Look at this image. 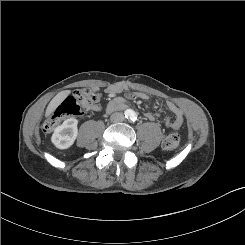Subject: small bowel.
<instances>
[{
    "label": "small bowel",
    "mask_w": 245,
    "mask_h": 245,
    "mask_svg": "<svg viewBox=\"0 0 245 245\" xmlns=\"http://www.w3.org/2000/svg\"><path fill=\"white\" fill-rule=\"evenodd\" d=\"M123 90L127 91L126 97L131 100H135V99L146 100L148 98V96L145 93L131 91L127 85H111L106 88V93L114 97L108 104V108H107L108 112L122 109L123 106H125V100L122 97L117 96ZM167 107L175 118L171 119L170 116H167L165 120V127L169 129L180 128L184 120L183 110L170 101L167 102ZM146 117L149 120H153L154 114L148 112L146 113Z\"/></svg>",
    "instance_id": "obj_1"
}]
</instances>
